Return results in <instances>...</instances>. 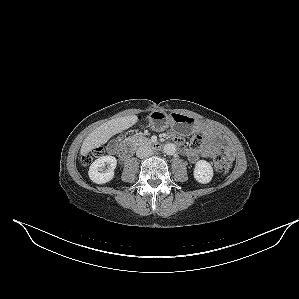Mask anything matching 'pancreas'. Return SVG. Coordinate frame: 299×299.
Here are the masks:
<instances>
[{"instance_id": "obj_1", "label": "pancreas", "mask_w": 299, "mask_h": 299, "mask_svg": "<svg viewBox=\"0 0 299 299\" xmlns=\"http://www.w3.org/2000/svg\"><path fill=\"white\" fill-rule=\"evenodd\" d=\"M132 139H133V141H134L135 143L148 142V138L143 137V136H135V137H133Z\"/></svg>"}]
</instances>
